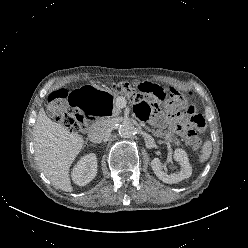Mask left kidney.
<instances>
[{"label": "left kidney", "instance_id": "1", "mask_svg": "<svg viewBox=\"0 0 248 248\" xmlns=\"http://www.w3.org/2000/svg\"><path fill=\"white\" fill-rule=\"evenodd\" d=\"M173 158L175 161L179 162L181 166L180 171L174 174H167L163 171L162 163L159 158L156 157L151 161V167L156 176L168 184L178 183L189 178L192 174V167L189 163L187 153L184 150L179 148L176 149Z\"/></svg>", "mask_w": 248, "mask_h": 248}]
</instances>
